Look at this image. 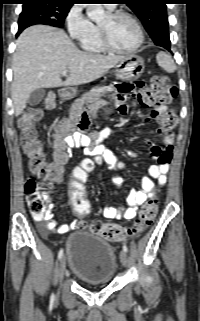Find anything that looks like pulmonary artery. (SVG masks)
I'll return each mask as SVG.
<instances>
[{
  "label": "pulmonary artery",
  "instance_id": "e3ab8cb5",
  "mask_svg": "<svg viewBox=\"0 0 200 321\" xmlns=\"http://www.w3.org/2000/svg\"><path fill=\"white\" fill-rule=\"evenodd\" d=\"M107 7H109V8H113V7H114V5L109 4V5H107Z\"/></svg>",
  "mask_w": 200,
  "mask_h": 321
}]
</instances>
